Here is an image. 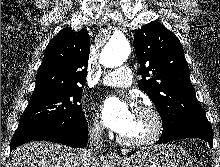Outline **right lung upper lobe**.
<instances>
[{
	"label": "right lung upper lobe",
	"instance_id": "right-lung-upper-lobe-1",
	"mask_svg": "<svg viewBox=\"0 0 220 167\" xmlns=\"http://www.w3.org/2000/svg\"><path fill=\"white\" fill-rule=\"evenodd\" d=\"M90 39L86 29H62L48 44L31 98L84 85Z\"/></svg>",
	"mask_w": 220,
	"mask_h": 167
}]
</instances>
